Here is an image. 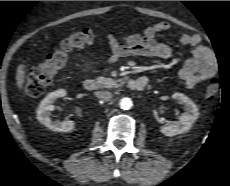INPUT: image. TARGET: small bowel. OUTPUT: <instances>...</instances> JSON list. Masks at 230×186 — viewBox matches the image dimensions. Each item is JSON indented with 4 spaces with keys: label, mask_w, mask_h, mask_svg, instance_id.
<instances>
[{
    "label": "small bowel",
    "mask_w": 230,
    "mask_h": 186,
    "mask_svg": "<svg viewBox=\"0 0 230 186\" xmlns=\"http://www.w3.org/2000/svg\"><path fill=\"white\" fill-rule=\"evenodd\" d=\"M171 25L168 22H158L145 28L143 34L125 35L117 39L113 35L108 36V44L111 49L109 62L127 56H147L158 59H169L172 55L171 48L158 42L156 37L159 33L169 31ZM178 41L182 45L190 46L191 51L178 77L184 82L187 88L191 89L198 84L207 81L215 76L218 69V62L213 52L200 44L197 35L181 34ZM91 63L84 64V71L90 70Z\"/></svg>",
    "instance_id": "c3829d8e"
}]
</instances>
